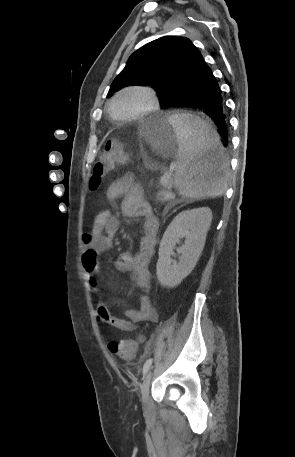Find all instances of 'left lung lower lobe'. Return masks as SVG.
Instances as JSON below:
<instances>
[{
  "mask_svg": "<svg viewBox=\"0 0 295 457\" xmlns=\"http://www.w3.org/2000/svg\"><path fill=\"white\" fill-rule=\"evenodd\" d=\"M170 107H189L209 116L218 127L223 146H228V120L220 87L201 54L189 71L187 87L172 97L163 108Z\"/></svg>",
  "mask_w": 295,
  "mask_h": 457,
  "instance_id": "left-lung-lower-lobe-1",
  "label": "left lung lower lobe"
}]
</instances>
